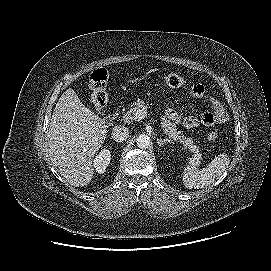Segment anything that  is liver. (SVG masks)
<instances>
[{"label":"liver","instance_id":"6515ba94","mask_svg":"<svg viewBox=\"0 0 271 271\" xmlns=\"http://www.w3.org/2000/svg\"><path fill=\"white\" fill-rule=\"evenodd\" d=\"M107 135L102 119L87 108L69 88L60 96L52 114L48 149L51 162L72 186L90 183L93 158Z\"/></svg>","mask_w":271,"mask_h":271}]
</instances>
